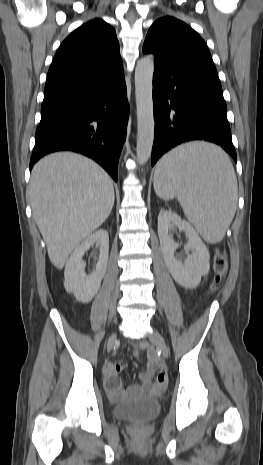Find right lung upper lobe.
I'll return each instance as SVG.
<instances>
[{
  "mask_svg": "<svg viewBox=\"0 0 263 465\" xmlns=\"http://www.w3.org/2000/svg\"><path fill=\"white\" fill-rule=\"evenodd\" d=\"M123 74L115 30L101 19L72 32L60 45L48 71L44 95L97 84Z\"/></svg>",
  "mask_w": 263,
  "mask_h": 465,
  "instance_id": "right-lung-upper-lobe-1",
  "label": "right lung upper lobe"
}]
</instances>
